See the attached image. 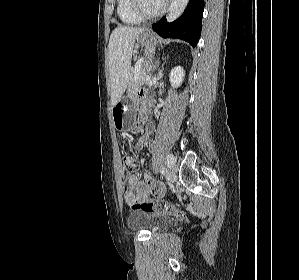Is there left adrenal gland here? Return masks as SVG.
<instances>
[{"label":"left adrenal gland","mask_w":299,"mask_h":280,"mask_svg":"<svg viewBox=\"0 0 299 280\" xmlns=\"http://www.w3.org/2000/svg\"><path fill=\"white\" fill-rule=\"evenodd\" d=\"M159 66L158 61L155 63L153 70H155Z\"/></svg>","instance_id":"1"}]
</instances>
